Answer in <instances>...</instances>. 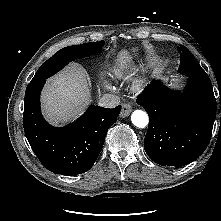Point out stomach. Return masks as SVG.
Segmentation results:
<instances>
[{
  "mask_svg": "<svg viewBox=\"0 0 221 221\" xmlns=\"http://www.w3.org/2000/svg\"><path fill=\"white\" fill-rule=\"evenodd\" d=\"M146 60H147V62H151V61H150V58H147Z\"/></svg>",
  "mask_w": 221,
  "mask_h": 221,
  "instance_id": "0dacf381",
  "label": "stomach"
}]
</instances>
